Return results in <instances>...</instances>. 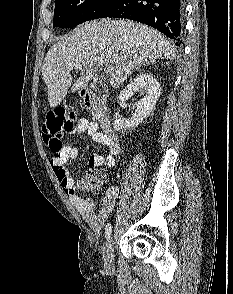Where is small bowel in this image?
<instances>
[{
  "label": "small bowel",
  "instance_id": "c3829d8e",
  "mask_svg": "<svg viewBox=\"0 0 233 294\" xmlns=\"http://www.w3.org/2000/svg\"><path fill=\"white\" fill-rule=\"evenodd\" d=\"M70 133L86 134L94 142L107 147V154L105 156L99 154H92L90 156L89 164L91 166L112 167L114 165L115 157L120 151L119 145L113 135L106 134L100 129L97 122L89 121L85 118L80 119ZM78 154L79 151L77 147H65L60 157H54L51 160L52 171L75 209L88 225L95 232H98L114 210L116 201L120 195V187L118 185L109 186L101 201L99 210L96 211V205L92 198L77 193L74 187V181L68 171V166L77 159ZM95 176L98 178L101 185L104 174L99 172Z\"/></svg>",
  "mask_w": 233,
  "mask_h": 294
}]
</instances>
